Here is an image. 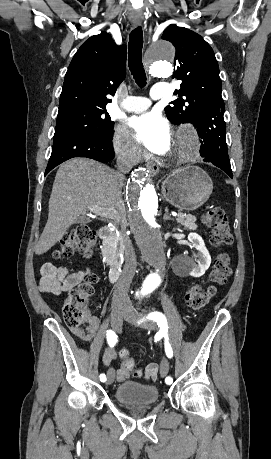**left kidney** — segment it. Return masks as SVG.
<instances>
[{
    "mask_svg": "<svg viewBox=\"0 0 271 459\" xmlns=\"http://www.w3.org/2000/svg\"><path fill=\"white\" fill-rule=\"evenodd\" d=\"M188 239L189 241H192L193 247H196L198 251V259H186L183 265L189 275H193V277H200V275H203L206 269H208L211 263V255L204 243V239H202L199 233L191 231L188 235Z\"/></svg>",
    "mask_w": 271,
    "mask_h": 459,
    "instance_id": "1",
    "label": "left kidney"
}]
</instances>
